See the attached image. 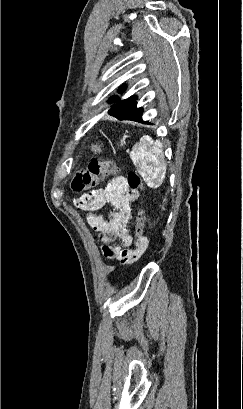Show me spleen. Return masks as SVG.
Wrapping results in <instances>:
<instances>
[{
	"label": "spleen",
	"instance_id": "1",
	"mask_svg": "<svg viewBox=\"0 0 243 409\" xmlns=\"http://www.w3.org/2000/svg\"><path fill=\"white\" fill-rule=\"evenodd\" d=\"M130 158L143 180L150 188H158L163 183L166 165L163 161L162 145L145 135L135 144Z\"/></svg>",
	"mask_w": 243,
	"mask_h": 409
}]
</instances>
